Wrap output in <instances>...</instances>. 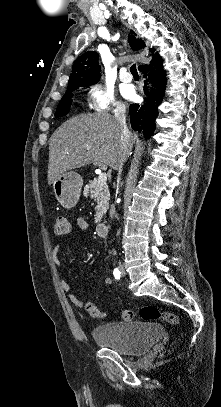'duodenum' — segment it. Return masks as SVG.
Instances as JSON below:
<instances>
[{
    "mask_svg": "<svg viewBox=\"0 0 221 407\" xmlns=\"http://www.w3.org/2000/svg\"><path fill=\"white\" fill-rule=\"evenodd\" d=\"M109 230V225L106 223H99L96 226V231L99 236H106Z\"/></svg>",
    "mask_w": 221,
    "mask_h": 407,
    "instance_id": "1",
    "label": "duodenum"
}]
</instances>
